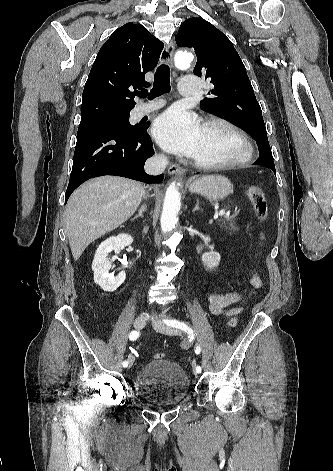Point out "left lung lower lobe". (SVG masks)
I'll use <instances>...</instances> for the list:
<instances>
[{
    "instance_id": "obj_1",
    "label": "left lung lower lobe",
    "mask_w": 333,
    "mask_h": 471,
    "mask_svg": "<svg viewBox=\"0 0 333 471\" xmlns=\"http://www.w3.org/2000/svg\"><path fill=\"white\" fill-rule=\"evenodd\" d=\"M254 164L263 165V166L269 167V168L276 174V170H275V166H274V161H273V159H270V158H258V160L254 162Z\"/></svg>"
}]
</instances>
